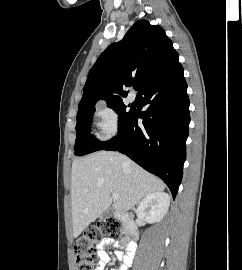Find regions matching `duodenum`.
Listing matches in <instances>:
<instances>
[{"label":"duodenum","instance_id":"410a0bca","mask_svg":"<svg viewBox=\"0 0 242 270\" xmlns=\"http://www.w3.org/2000/svg\"><path fill=\"white\" fill-rule=\"evenodd\" d=\"M115 217L125 224L128 241H124V242H129L130 244H134V241L138 238V232H137V227L133 220L132 214L124 213V212H116ZM130 251L132 253L135 251V248L133 245L130 247Z\"/></svg>","mask_w":242,"mask_h":270}]
</instances>
